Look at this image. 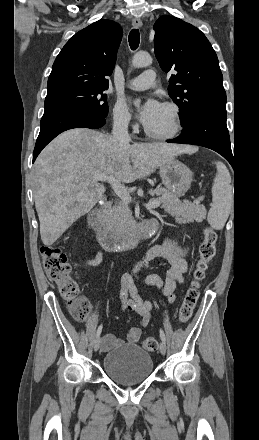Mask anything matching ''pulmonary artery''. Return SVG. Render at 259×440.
I'll return each mask as SVG.
<instances>
[{"instance_id":"e3ab8cb5","label":"pulmonary artery","mask_w":259,"mask_h":440,"mask_svg":"<svg viewBox=\"0 0 259 440\" xmlns=\"http://www.w3.org/2000/svg\"><path fill=\"white\" fill-rule=\"evenodd\" d=\"M156 83V73L152 69L145 70L139 76L130 79L127 82V87L133 90H145Z\"/></svg>"}]
</instances>
